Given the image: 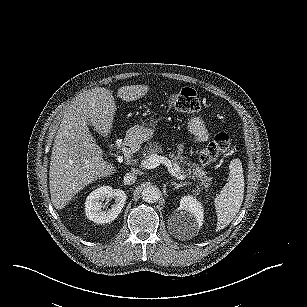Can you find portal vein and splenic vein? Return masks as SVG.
<instances>
[{
    "mask_svg": "<svg viewBox=\"0 0 307 307\" xmlns=\"http://www.w3.org/2000/svg\"><path fill=\"white\" fill-rule=\"evenodd\" d=\"M161 163L169 167L170 174L176 178L183 177L182 175L178 174V167L172 168V163L166 157L160 156L157 152L151 153L147 159L143 162V166L145 169H153L159 166Z\"/></svg>",
    "mask_w": 307,
    "mask_h": 307,
    "instance_id": "portal-vein-and-splenic-vein-1",
    "label": "portal vein and splenic vein"
}]
</instances>
